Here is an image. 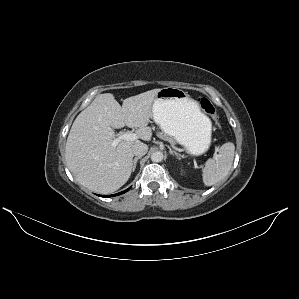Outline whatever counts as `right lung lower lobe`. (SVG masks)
Masks as SVG:
<instances>
[{
  "mask_svg": "<svg viewBox=\"0 0 299 299\" xmlns=\"http://www.w3.org/2000/svg\"><path fill=\"white\" fill-rule=\"evenodd\" d=\"M128 190H129V188H128L127 190L123 191V192H120V193H117V194H114V195L104 196V197H111V196L120 195V194L125 193V192L128 191Z\"/></svg>",
  "mask_w": 299,
  "mask_h": 299,
  "instance_id": "1",
  "label": "right lung lower lobe"
}]
</instances>
